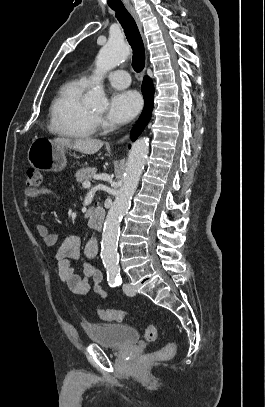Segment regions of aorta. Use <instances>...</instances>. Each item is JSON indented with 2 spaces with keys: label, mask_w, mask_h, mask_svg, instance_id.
<instances>
[{
  "label": "aorta",
  "mask_w": 265,
  "mask_h": 407,
  "mask_svg": "<svg viewBox=\"0 0 265 407\" xmlns=\"http://www.w3.org/2000/svg\"><path fill=\"white\" fill-rule=\"evenodd\" d=\"M129 47L123 39H109L96 58V78L92 89L84 96V104L91 107L107 105L101 84L102 75L122 63L129 55ZM149 141L143 137L136 140L130 149L123 184L104 222L101 242V259L108 276L119 273L117 242L121 217L129 210L131 198L137 189L148 155Z\"/></svg>",
  "instance_id": "obj_1"
}]
</instances>
